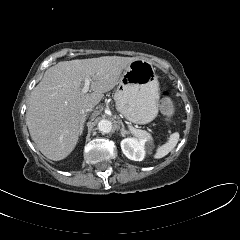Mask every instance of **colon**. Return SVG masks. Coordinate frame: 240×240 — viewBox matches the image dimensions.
Listing matches in <instances>:
<instances>
[{"label":"colon","mask_w":240,"mask_h":240,"mask_svg":"<svg viewBox=\"0 0 240 240\" xmlns=\"http://www.w3.org/2000/svg\"><path fill=\"white\" fill-rule=\"evenodd\" d=\"M161 111L165 116H171L174 112V105L172 100L170 99L167 93H164L163 98L161 100Z\"/></svg>","instance_id":"colon-1"}]
</instances>
